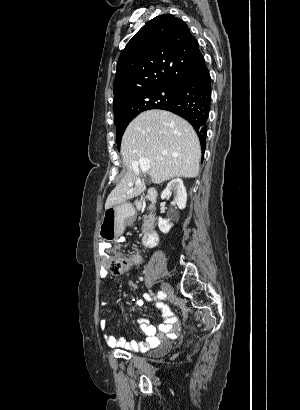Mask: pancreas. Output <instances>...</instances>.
I'll return each mask as SVG.
<instances>
[{
	"mask_svg": "<svg viewBox=\"0 0 300 410\" xmlns=\"http://www.w3.org/2000/svg\"><path fill=\"white\" fill-rule=\"evenodd\" d=\"M145 221H146V219H144V222H145ZM142 231H143V232H146V231H147V226H146V224H145V223L143 224Z\"/></svg>",
	"mask_w": 300,
	"mask_h": 410,
	"instance_id": "1",
	"label": "pancreas"
}]
</instances>
